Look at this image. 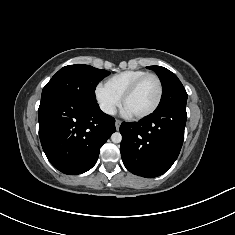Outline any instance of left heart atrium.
I'll use <instances>...</instances> for the list:
<instances>
[{
	"instance_id": "left-heart-atrium-1",
	"label": "left heart atrium",
	"mask_w": 235,
	"mask_h": 235,
	"mask_svg": "<svg viewBox=\"0 0 235 235\" xmlns=\"http://www.w3.org/2000/svg\"><path fill=\"white\" fill-rule=\"evenodd\" d=\"M122 114H123L124 116H131V114H130L125 108H123Z\"/></svg>"
}]
</instances>
